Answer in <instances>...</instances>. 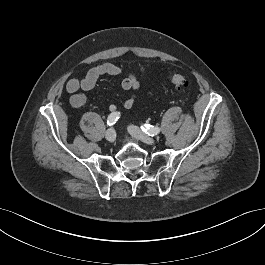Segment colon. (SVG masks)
I'll return each mask as SVG.
<instances>
[{
    "label": "colon",
    "instance_id": "obj_1",
    "mask_svg": "<svg viewBox=\"0 0 265 265\" xmlns=\"http://www.w3.org/2000/svg\"><path fill=\"white\" fill-rule=\"evenodd\" d=\"M170 82L178 89H185L189 86L188 78L182 74H171L169 76Z\"/></svg>",
    "mask_w": 265,
    "mask_h": 265
}]
</instances>
